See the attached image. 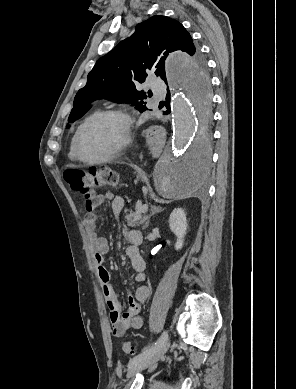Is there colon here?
<instances>
[{"label": "colon", "instance_id": "5ec220e1", "mask_svg": "<svg viewBox=\"0 0 296 389\" xmlns=\"http://www.w3.org/2000/svg\"><path fill=\"white\" fill-rule=\"evenodd\" d=\"M64 179L72 190L89 196L95 187L116 186L118 174L110 168H97L90 170L70 169L65 171ZM122 350L126 354H132L134 348L128 341L122 344Z\"/></svg>", "mask_w": 296, "mask_h": 389}]
</instances>
